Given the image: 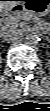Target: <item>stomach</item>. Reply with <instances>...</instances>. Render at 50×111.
<instances>
[{"label":"stomach","instance_id":"obj_1","mask_svg":"<svg viewBox=\"0 0 50 111\" xmlns=\"http://www.w3.org/2000/svg\"><path fill=\"white\" fill-rule=\"evenodd\" d=\"M23 6L36 16H45L50 12V0H25Z\"/></svg>","mask_w":50,"mask_h":111}]
</instances>
